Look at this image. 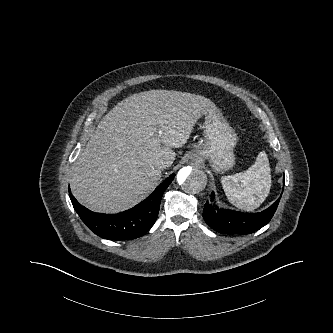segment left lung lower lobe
<instances>
[{
    "label": "left lung lower lobe",
    "instance_id": "1",
    "mask_svg": "<svg viewBox=\"0 0 333 333\" xmlns=\"http://www.w3.org/2000/svg\"><path fill=\"white\" fill-rule=\"evenodd\" d=\"M215 194H211L214 201ZM280 198L269 208L259 213H242L226 209H219L216 203L208 202L204 206L203 218L205 222L219 233L250 234L265 226L273 217Z\"/></svg>",
    "mask_w": 333,
    "mask_h": 333
}]
</instances>
